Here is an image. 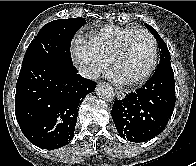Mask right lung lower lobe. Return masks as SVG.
<instances>
[{"label":"right lung lower lobe","instance_id":"right-lung-lower-lobe-1","mask_svg":"<svg viewBox=\"0 0 196 166\" xmlns=\"http://www.w3.org/2000/svg\"><path fill=\"white\" fill-rule=\"evenodd\" d=\"M96 82L78 74L73 62L37 58L22 64L16 84L15 115L35 146L57 149L74 135L79 106Z\"/></svg>","mask_w":196,"mask_h":166}]
</instances>
